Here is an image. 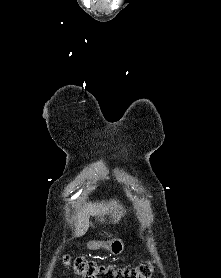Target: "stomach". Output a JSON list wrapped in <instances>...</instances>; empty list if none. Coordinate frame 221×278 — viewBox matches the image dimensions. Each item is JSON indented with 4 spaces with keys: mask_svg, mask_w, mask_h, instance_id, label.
Listing matches in <instances>:
<instances>
[{
    "mask_svg": "<svg viewBox=\"0 0 221 278\" xmlns=\"http://www.w3.org/2000/svg\"><path fill=\"white\" fill-rule=\"evenodd\" d=\"M87 247L91 250L103 248L112 253L113 255H119L124 250V243L121 239H112L108 242L89 241L87 243Z\"/></svg>",
    "mask_w": 221,
    "mask_h": 278,
    "instance_id": "1",
    "label": "stomach"
}]
</instances>
